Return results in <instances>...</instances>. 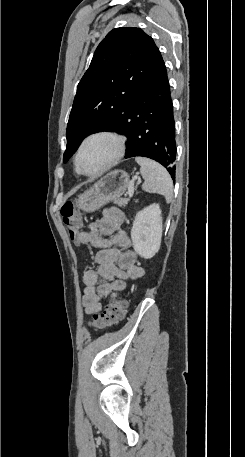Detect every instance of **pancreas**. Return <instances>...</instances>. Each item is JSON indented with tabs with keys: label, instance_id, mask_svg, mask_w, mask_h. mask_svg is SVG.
Listing matches in <instances>:
<instances>
[{
	"label": "pancreas",
	"instance_id": "pancreas-1",
	"mask_svg": "<svg viewBox=\"0 0 245 457\" xmlns=\"http://www.w3.org/2000/svg\"><path fill=\"white\" fill-rule=\"evenodd\" d=\"M128 200L129 198H115L114 202L118 206H125V204H128Z\"/></svg>",
	"mask_w": 245,
	"mask_h": 457
}]
</instances>
